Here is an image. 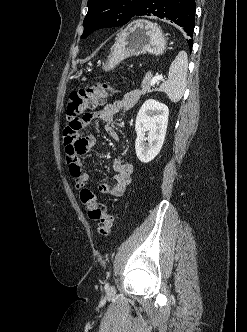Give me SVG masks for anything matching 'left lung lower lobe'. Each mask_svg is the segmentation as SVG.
<instances>
[{"mask_svg":"<svg viewBox=\"0 0 247 332\" xmlns=\"http://www.w3.org/2000/svg\"><path fill=\"white\" fill-rule=\"evenodd\" d=\"M195 0H146L135 16H157L167 19L183 27L188 36L192 37L195 27ZM192 49L193 40H187Z\"/></svg>","mask_w":247,"mask_h":332,"instance_id":"left-lung-lower-lobe-1","label":"left lung lower lobe"}]
</instances>
